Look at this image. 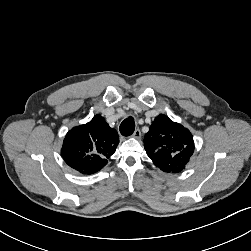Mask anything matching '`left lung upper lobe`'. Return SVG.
Here are the masks:
<instances>
[{
  "label": "left lung upper lobe",
  "instance_id": "5c2ea615",
  "mask_svg": "<svg viewBox=\"0 0 251 251\" xmlns=\"http://www.w3.org/2000/svg\"><path fill=\"white\" fill-rule=\"evenodd\" d=\"M144 147L153 163L165 172H180L194 151L190 131L161 114L144 137Z\"/></svg>",
  "mask_w": 251,
  "mask_h": 251
}]
</instances>
